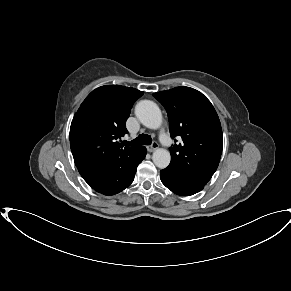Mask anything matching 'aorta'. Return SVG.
I'll use <instances>...</instances> for the list:
<instances>
[{"instance_id": "1", "label": "aorta", "mask_w": 291, "mask_h": 291, "mask_svg": "<svg viewBox=\"0 0 291 291\" xmlns=\"http://www.w3.org/2000/svg\"><path fill=\"white\" fill-rule=\"evenodd\" d=\"M135 115L147 128L157 129L162 124V114L158 105L150 100H142L135 106ZM152 160L160 168H166L171 160L168 150L158 148L153 152Z\"/></svg>"}]
</instances>
